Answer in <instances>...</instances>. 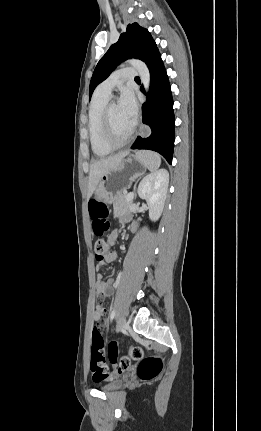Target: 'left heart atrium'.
<instances>
[{"label":"left heart atrium","mask_w":261,"mask_h":431,"mask_svg":"<svg viewBox=\"0 0 261 431\" xmlns=\"http://www.w3.org/2000/svg\"><path fill=\"white\" fill-rule=\"evenodd\" d=\"M118 105L130 124L134 126L138 113V106L134 93L129 89H124L121 93Z\"/></svg>","instance_id":"39dd6f15"}]
</instances>
